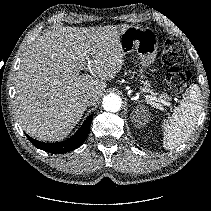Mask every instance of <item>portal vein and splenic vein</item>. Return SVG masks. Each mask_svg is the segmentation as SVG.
<instances>
[{"label":"portal vein and splenic vein","instance_id":"18ae733b","mask_svg":"<svg viewBox=\"0 0 211 211\" xmlns=\"http://www.w3.org/2000/svg\"><path fill=\"white\" fill-rule=\"evenodd\" d=\"M143 97L152 105V106H154V107H156V108H158V109H160L161 111H163L164 109H163V107L161 106V104H159V103H156L155 101H157V98L156 97H152V96H150V95H143ZM163 104H165V105H170V103H168V102H165V101H161Z\"/></svg>","mask_w":211,"mask_h":211}]
</instances>
